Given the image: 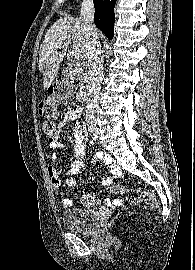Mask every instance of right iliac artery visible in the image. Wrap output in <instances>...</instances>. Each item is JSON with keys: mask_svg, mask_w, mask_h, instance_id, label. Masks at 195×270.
Instances as JSON below:
<instances>
[{"mask_svg": "<svg viewBox=\"0 0 195 270\" xmlns=\"http://www.w3.org/2000/svg\"><path fill=\"white\" fill-rule=\"evenodd\" d=\"M90 144H91L92 146H94L95 143H94L93 140H91V141H90Z\"/></svg>", "mask_w": 195, "mask_h": 270, "instance_id": "1", "label": "right iliac artery"}]
</instances>
